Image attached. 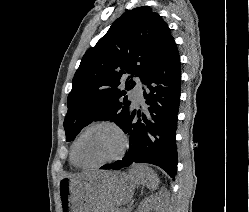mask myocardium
I'll list each match as a JSON object with an SVG mask.
<instances>
[{"label":"myocardium","mask_w":249,"mask_h":212,"mask_svg":"<svg viewBox=\"0 0 249 212\" xmlns=\"http://www.w3.org/2000/svg\"><path fill=\"white\" fill-rule=\"evenodd\" d=\"M99 128H109L112 129L113 131H115V133L118 135L119 140H120V148L117 152L116 155L102 161L99 162L97 164H92V165H86L83 164L79 161L78 157H77V147H78V143L81 140V138L89 133L90 131L99 129ZM130 145V139L129 136L127 134V131L117 122L113 121V120H101V121H97L95 123L90 124L89 126H87L86 128H84L79 135L76 137V139L74 140L73 146H72V157H73V161L74 163L82 169H99L102 168L106 165H109L111 163H114L118 160H120L125 153L127 152L128 148Z\"/></svg>","instance_id":"myocardium-1"}]
</instances>
